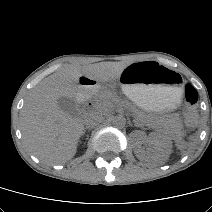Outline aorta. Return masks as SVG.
Returning <instances> with one entry per match:
<instances>
[{
  "label": "aorta",
  "instance_id": "762f6f07",
  "mask_svg": "<svg viewBox=\"0 0 212 212\" xmlns=\"http://www.w3.org/2000/svg\"><path fill=\"white\" fill-rule=\"evenodd\" d=\"M112 124L117 128H123L126 124V119L122 115L115 116L113 118Z\"/></svg>",
  "mask_w": 212,
  "mask_h": 212
}]
</instances>
